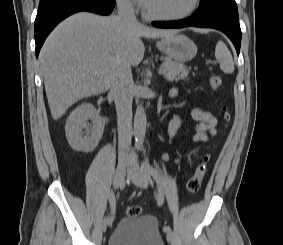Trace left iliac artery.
Instances as JSON below:
<instances>
[{
	"mask_svg": "<svg viewBox=\"0 0 283 245\" xmlns=\"http://www.w3.org/2000/svg\"><path fill=\"white\" fill-rule=\"evenodd\" d=\"M142 167L145 169V171L153 177V179L156 181L158 186V205H162L164 202V186L161 175L158 173V171L147 161L144 160ZM150 182L152 183V180L150 178ZM163 230L168 233L172 232L171 227L168 225H165L163 227Z\"/></svg>",
	"mask_w": 283,
	"mask_h": 245,
	"instance_id": "1",
	"label": "left iliac artery"
}]
</instances>
